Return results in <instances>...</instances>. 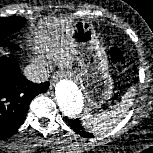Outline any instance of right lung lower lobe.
Here are the masks:
<instances>
[{
	"label": "right lung lower lobe",
	"instance_id": "right-lung-lower-lobe-1",
	"mask_svg": "<svg viewBox=\"0 0 153 153\" xmlns=\"http://www.w3.org/2000/svg\"><path fill=\"white\" fill-rule=\"evenodd\" d=\"M0 46L19 50L15 44L5 39H0ZM48 87V82L36 84L27 80L20 73L13 56L0 58V138L18 129L26 118L32 99L46 92Z\"/></svg>",
	"mask_w": 153,
	"mask_h": 153
}]
</instances>
